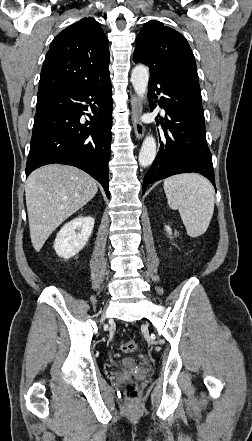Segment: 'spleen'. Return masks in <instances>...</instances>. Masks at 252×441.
<instances>
[{"mask_svg":"<svg viewBox=\"0 0 252 441\" xmlns=\"http://www.w3.org/2000/svg\"><path fill=\"white\" fill-rule=\"evenodd\" d=\"M169 207L178 210L187 234L196 238L204 234L214 212V187L205 177L186 173L164 181Z\"/></svg>","mask_w":252,"mask_h":441,"instance_id":"obj_1","label":"spleen"}]
</instances>
